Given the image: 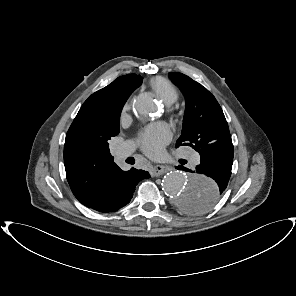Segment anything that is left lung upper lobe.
<instances>
[{
	"label": "left lung upper lobe",
	"instance_id": "5c2ea615",
	"mask_svg": "<svg viewBox=\"0 0 296 296\" xmlns=\"http://www.w3.org/2000/svg\"><path fill=\"white\" fill-rule=\"evenodd\" d=\"M169 76L180 85L186 98L183 129L176 148L190 146L202 155L217 146L219 139L230 135L223 111L215 97L198 82L178 72ZM193 199H188L185 207Z\"/></svg>",
	"mask_w": 296,
	"mask_h": 296
}]
</instances>
